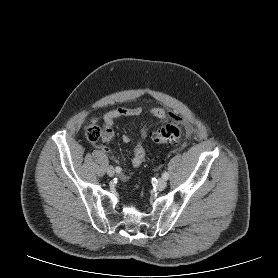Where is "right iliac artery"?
Segmentation results:
<instances>
[{
	"label": "right iliac artery",
	"instance_id": "right-iliac-artery-1",
	"mask_svg": "<svg viewBox=\"0 0 278 278\" xmlns=\"http://www.w3.org/2000/svg\"><path fill=\"white\" fill-rule=\"evenodd\" d=\"M115 171H116L117 173H120V172H121V168H120V167H116Z\"/></svg>",
	"mask_w": 278,
	"mask_h": 278
}]
</instances>
